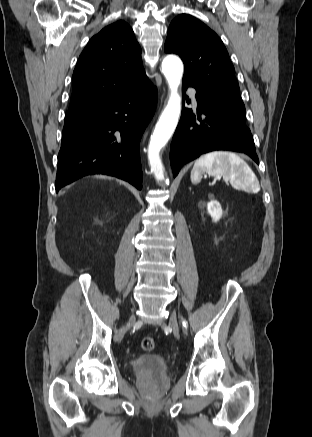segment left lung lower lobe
Instances as JSON below:
<instances>
[{"label": "left lung lower lobe", "instance_id": "obj_1", "mask_svg": "<svg viewBox=\"0 0 312 437\" xmlns=\"http://www.w3.org/2000/svg\"><path fill=\"white\" fill-rule=\"evenodd\" d=\"M183 84L185 98L186 88L192 85L185 81ZM196 100L197 115L183 107L173 136L170 161L174 177L184 164L214 150L243 152L259 164L253 136L246 122L217 99L196 91Z\"/></svg>", "mask_w": 312, "mask_h": 437}]
</instances>
